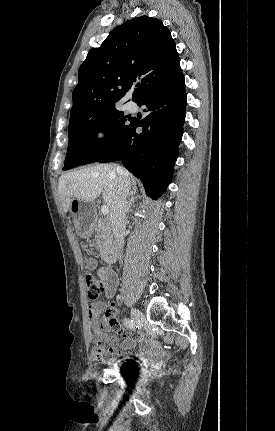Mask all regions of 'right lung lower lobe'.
<instances>
[{
    "label": "right lung lower lobe",
    "mask_w": 275,
    "mask_h": 431,
    "mask_svg": "<svg viewBox=\"0 0 275 431\" xmlns=\"http://www.w3.org/2000/svg\"><path fill=\"white\" fill-rule=\"evenodd\" d=\"M137 104L146 105L147 116L132 118L118 142L98 162L122 160L124 166L158 198L169 185L178 156L186 115V92L182 70L168 82L146 94ZM142 127L141 133L136 132Z\"/></svg>",
    "instance_id": "right-lung-lower-lobe-1"
}]
</instances>
